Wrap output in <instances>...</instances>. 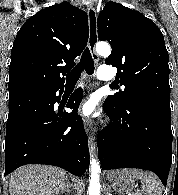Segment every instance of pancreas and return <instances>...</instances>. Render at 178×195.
Listing matches in <instances>:
<instances>
[{"mask_svg":"<svg viewBox=\"0 0 178 195\" xmlns=\"http://www.w3.org/2000/svg\"><path fill=\"white\" fill-rule=\"evenodd\" d=\"M135 195H141V193H136Z\"/></svg>","mask_w":178,"mask_h":195,"instance_id":"pancreas-1","label":"pancreas"}]
</instances>
